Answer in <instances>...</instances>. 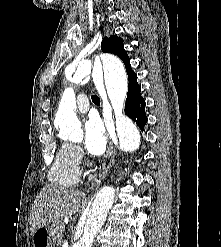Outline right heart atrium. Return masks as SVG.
<instances>
[{
    "instance_id": "obj_1",
    "label": "right heart atrium",
    "mask_w": 221,
    "mask_h": 247,
    "mask_svg": "<svg viewBox=\"0 0 221 247\" xmlns=\"http://www.w3.org/2000/svg\"><path fill=\"white\" fill-rule=\"evenodd\" d=\"M74 152H75V157H76L78 164L81 165L85 160L84 153L79 147H74Z\"/></svg>"
}]
</instances>
